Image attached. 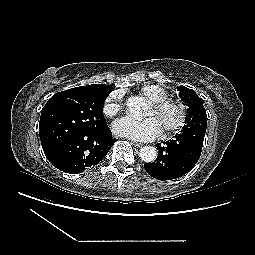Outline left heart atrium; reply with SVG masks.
<instances>
[{"instance_id":"39dd6f15","label":"left heart atrium","mask_w":255,"mask_h":255,"mask_svg":"<svg viewBox=\"0 0 255 255\" xmlns=\"http://www.w3.org/2000/svg\"><path fill=\"white\" fill-rule=\"evenodd\" d=\"M113 130L117 135L137 141H151L162 133V127L155 117H147L143 120L123 117L115 121Z\"/></svg>"}]
</instances>
